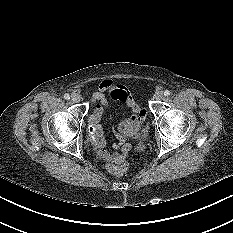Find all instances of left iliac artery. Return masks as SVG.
Returning <instances> with one entry per match:
<instances>
[{"mask_svg":"<svg viewBox=\"0 0 233 233\" xmlns=\"http://www.w3.org/2000/svg\"><path fill=\"white\" fill-rule=\"evenodd\" d=\"M164 95H165V96H169V95H170V91H169V90H165V91H164Z\"/></svg>","mask_w":233,"mask_h":233,"instance_id":"44dca946","label":"left iliac artery"}]
</instances>
